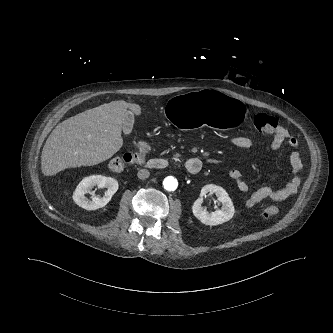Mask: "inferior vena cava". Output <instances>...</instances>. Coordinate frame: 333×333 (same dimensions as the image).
Returning <instances> with one entry per match:
<instances>
[{
    "label": "inferior vena cava",
    "instance_id": "1",
    "mask_svg": "<svg viewBox=\"0 0 333 333\" xmlns=\"http://www.w3.org/2000/svg\"><path fill=\"white\" fill-rule=\"evenodd\" d=\"M150 175V172L147 169H141L138 171L137 176L140 179H146Z\"/></svg>",
    "mask_w": 333,
    "mask_h": 333
}]
</instances>
